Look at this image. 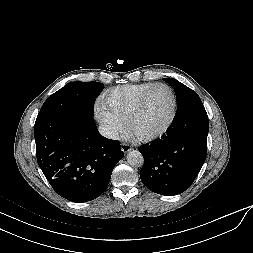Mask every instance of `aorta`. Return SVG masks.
<instances>
[{
  "instance_id": "aorta-1",
  "label": "aorta",
  "mask_w": 253,
  "mask_h": 253,
  "mask_svg": "<svg viewBox=\"0 0 253 253\" xmlns=\"http://www.w3.org/2000/svg\"><path fill=\"white\" fill-rule=\"evenodd\" d=\"M127 162L130 166L138 168L144 163V157L138 150L129 151L127 154Z\"/></svg>"
}]
</instances>
